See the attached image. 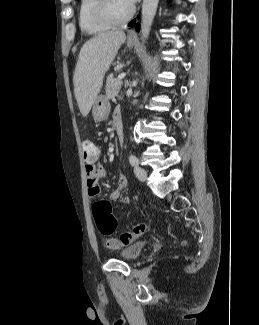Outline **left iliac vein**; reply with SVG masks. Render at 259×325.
Returning <instances> with one entry per match:
<instances>
[{
  "label": "left iliac vein",
  "mask_w": 259,
  "mask_h": 325,
  "mask_svg": "<svg viewBox=\"0 0 259 325\" xmlns=\"http://www.w3.org/2000/svg\"><path fill=\"white\" fill-rule=\"evenodd\" d=\"M134 173H135L137 179L140 180V181H145L146 178H147L146 170L139 167V166H135Z\"/></svg>",
  "instance_id": "obj_1"
}]
</instances>
